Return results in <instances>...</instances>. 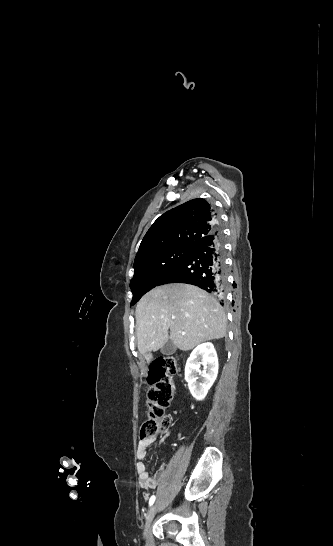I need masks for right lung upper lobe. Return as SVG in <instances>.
<instances>
[{"label":"right lung upper lobe","mask_w":333,"mask_h":546,"mask_svg":"<svg viewBox=\"0 0 333 546\" xmlns=\"http://www.w3.org/2000/svg\"><path fill=\"white\" fill-rule=\"evenodd\" d=\"M217 227V214L205 199L197 198L161 215L145 234L134 265L174 247H193Z\"/></svg>","instance_id":"obj_1"}]
</instances>
